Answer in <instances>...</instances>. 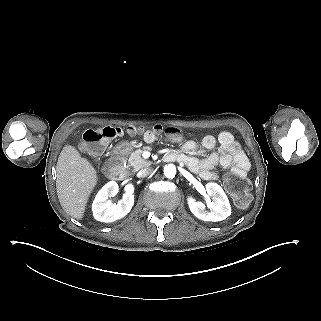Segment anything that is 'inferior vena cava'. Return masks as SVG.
Instances as JSON below:
<instances>
[{"label":"inferior vena cava","mask_w":321,"mask_h":321,"mask_svg":"<svg viewBox=\"0 0 321 321\" xmlns=\"http://www.w3.org/2000/svg\"><path fill=\"white\" fill-rule=\"evenodd\" d=\"M152 172H153V168L152 167H147V168H144V169L140 170L138 172L137 176L139 178H144V177H147L148 175H150Z\"/></svg>","instance_id":"1"}]
</instances>
